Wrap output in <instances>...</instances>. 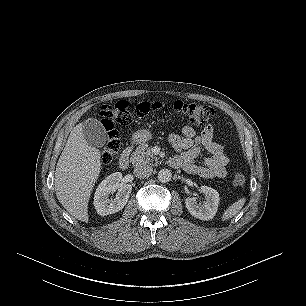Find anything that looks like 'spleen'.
I'll return each mask as SVG.
<instances>
[{
    "label": "spleen",
    "instance_id": "3e777b00",
    "mask_svg": "<svg viewBox=\"0 0 306 306\" xmlns=\"http://www.w3.org/2000/svg\"><path fill=\"white\" fill-rule=\"evenodd\" d=\"M246 202V198H240L237 201H235L233 204H231L223 213L222 220L226 221L230 218L237 215L240 210L243 208L244 204Z\"/></svg>",
    "mask_w": 306,
    "mask_h": 306
}]
</instances>
